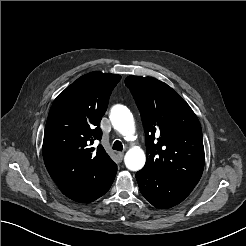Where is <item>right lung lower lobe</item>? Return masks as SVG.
<instances>
[{
  "mask_svg": "<svg viewBox=\"0 0 246 246\" xmlns=\"http://www.w3.org/2000/svg\"><path fill=\"white\" fill-rule=\"evenodd\" d=\"M116 172L112 173L105 180L103 178L95 177L85 182L60 186L59 189L64 195L74 201L90 203L104 195L109 190Z\"/></svg>",
  "mask_w": 246,
  "mask_h": 246,
  "instance_id": "right-lung-lower-lobe-1",
  "label": "right lung lower lobe"
}]
</instances>
